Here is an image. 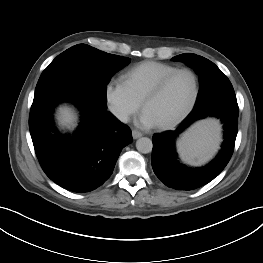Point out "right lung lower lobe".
I'll return each mask as SVG.
<instances>
[{"label": "right lung lower lobe", "instance_id": "1", "mask_svg": "<svg viewBox=\"0 0 263 263\" xmlns=\"http://www.w3.org/2000/svg\"><path fill=\"white\" fill-rule=\"evenodd\" d=\"M74 103L81 123L73 135L54 127L53 111L60 102ZM29 129L34 149L46 175L73 192H89L112 174L121 150L132 142L126 125L88 94L64 90L33 100Z\"/></svg>", "mask_w": 263, "mask_h": 263}]
</instances>
